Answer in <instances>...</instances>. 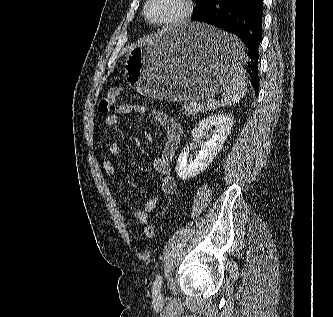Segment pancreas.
<instances>
[{
    "instance_id": "pancreas-1",
    "label": "pancreas",
    "mask_w": 333,
    "mask_h": 317,
    "mask_svg": "<svg viewBox=\"0 0 333 317\" xmlns=\"http://www.w3.org/2000/svg\"><path fill=\"white\" fill-rule=\"evenodd\" d=\"M215 102L214 101H210L207 103H202L199 105H193L192 103L187 104V105H183L182 107V111H184V113L188 114L191 117H194L196 114L200 113V112H204L210 109H215Z\"/></svg>"
}]
</instances>
